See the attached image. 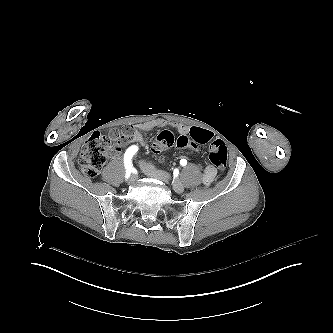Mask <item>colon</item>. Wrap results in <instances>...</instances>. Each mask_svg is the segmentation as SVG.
Instances as JSON below:
<instances>
[{
    "instance_id": "1",
    "label": "colon",
    "mask_w": 333,
    "mask_h": 333,
    "mask_svg": "<svg viewBox=\"0 0 333 333\" xmlns=\"http://www.w3.org/2000/svg\"><path fill=\"white\" fill-rule=\"evenodd\" d=\"M186 134H179L183 129L178 124L168 125L160 130L151 142L150 149L152 154L166 151L174 146L176 149H182L187 144L194 152H201L203 147L210 144L209 159L218 169H224L227 166V147L223 140L215 138L212 131L202 130L197 126H187ZM132 138V130L129 127L110 129L107 137L92 135L85 142L80 156V166L84 173L89 177L97 176L102 169L106 158L115 148L126 143ZM176 138V139H175Z\"/></svg>"
}]
</instances>
